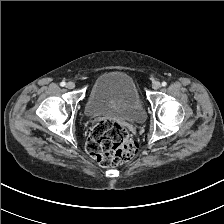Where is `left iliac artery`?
<instances>
[{
	"label": "left iliac artery",
	"instance_id": "left-iliac-artery-1",
	"mask_svg": "<svg viewBox=\"0 0 224 224\" xmlns=\"http://www.w3.org/2000/svg\"><path fill=\"white\" fill-rule=\"evenodd\" d=\"M167 83L165 81L162 82V86L165 87Z\"/></svg>",
	"mask_w": 224,
	"mask_h": 224
}]
</instances>
